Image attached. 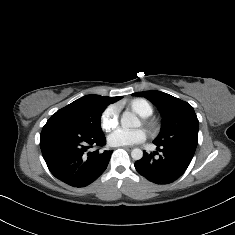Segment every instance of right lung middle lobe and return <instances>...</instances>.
I'll return each instance as SVG.
<instances>
[{"mask_svg":"<svg viewBox=\"0 0 235 235\" xmlns=\"http://www.w3.org/2000/svg\"><path fill=\"white\" fill-rule=\"evenodd\" d=\"M102 111H93L77 99L53 114L50 120H60L71 123L92 133L102 134L100 118Z\"/></svg>","mask_w":235,"mask_h":235,"instance_id":"1","label":"right lung middle lobe"}]
</instances>
